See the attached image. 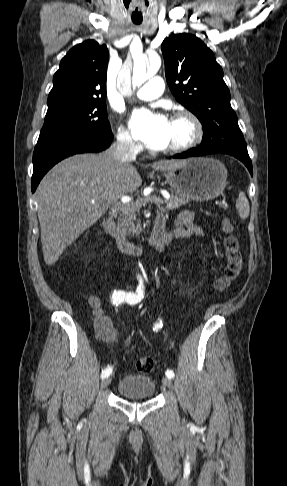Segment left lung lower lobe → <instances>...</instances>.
Returning <instances> with one entry per match:
<instances>
[{
    "label": "left lung lower lobe",
    "mask_w": 287,
    "mask_h": 486,
    "mask_svg": "<svg viewBox=\"0 0 287 486\" xmlns=\"http://www.w3.org/2000/svg\"><path fill=\"white\" fill-rule=\"evenodd\" d=\"M218 152L230 154V155L238 158L240 161H242L246 165L250 174L253 175L252 163H251V160L249 158L248 153H236V152H229V151H214V150H206V149H201V148H192V149H189L186 152L174 155L173 158H188V157L203 156V155H206V154H212V153H218Z\"/></svg>",
    "instance_id": "left-lung-lower-lobe-1"
}]
</instances>
